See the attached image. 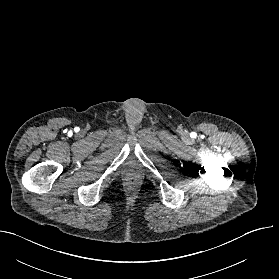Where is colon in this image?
<instances>
[{
	"label": "colon",
	"mask_w": 279,
	"mask_h": 279,
	"mask_svg": "<svg viewBox=\"0 0 279 279\" xmlns=\"http://www.w3.org/2000/svg\"><path fill=\"white\" fill-rule=\"evenodd\" d=\"M134 180H135V178H134V177H132V178H131V181H132V182H134Z\"/></svg>",
	"instance_id": "1"
}]
</instances>
